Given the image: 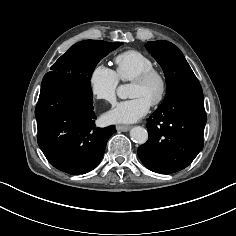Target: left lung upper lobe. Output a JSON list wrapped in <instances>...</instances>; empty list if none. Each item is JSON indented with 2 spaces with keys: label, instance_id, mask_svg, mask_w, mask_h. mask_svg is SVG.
I'll list each match as a JSON object with an SVG mask.
<instances>
[{
  "label": "left lung upper lobe",
  "instance_id": "1",
  "mask_svg": "<svg viewBox=\"0 0 236 236\" xmlns=\"http://www.w3.org/2000/svg\"><path fill=\"white\" fill-rule=\"evenodd\" d=\"M147 50L161 65L167 84V94L162 104L178 89L199 84L182 52L168 41H153L146 44Z\"/></svg>",
  "mask_w": 236,
  "mask_h": 236
}]
</instances>
